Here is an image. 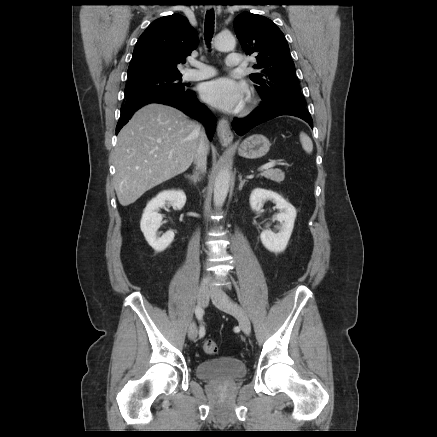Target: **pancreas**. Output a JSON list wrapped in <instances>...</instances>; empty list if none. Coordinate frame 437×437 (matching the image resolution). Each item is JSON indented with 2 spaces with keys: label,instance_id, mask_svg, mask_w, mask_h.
<instances>
[{
  "label": "pancreas",
  "instance_id": "1",
  "mask_svg": "<svg viewBox=\"0 0 437 437\" xmlns=\"http://www.w3.org/2000/svg\"><path fill=\"white\" fill-rule=\"evenodd\" d=\"M260 175L277 183L282 182L285 178V174L280 169H267Z\"/></svg>",
  "mask_w": 437,
  "mask_h": 437
}]
</instances>
